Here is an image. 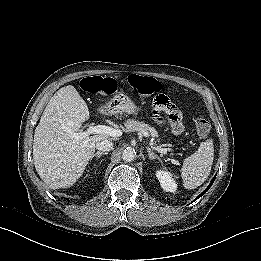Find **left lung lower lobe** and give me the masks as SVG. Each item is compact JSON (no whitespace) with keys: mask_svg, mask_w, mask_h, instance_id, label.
I'll use <instances>...</instances> for the list:
<instances>
[{"mask_svg":"<svg viewBox=\"0 0 261 261\" xmlns=\"http://www.w3.org/2000/svg\"><path fill=\"white\" fill-rule=\"evenodd\" d=\"M215 179V178H214ZM214 179L212 180V182L210 183V185L207 187V189L202 192L197 198H199L200 196H202L205 192H207V190L211 187L212 183L214 182Z\"/></svg>","mask_w":261,"mask_h":261,"instance_id":"0a47b994","label":"left lung lower lobe"}]
</instances>
